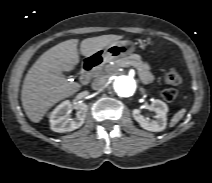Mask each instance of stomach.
<instances>
[{"mask_svg":"<svg viewBox=\"0 0 212 183\" xmlns=\"http://www.w3.org/2000/svg\"><path fill=\"white\" fill-rule=\"evenodd\" d=\"M135 43L128 40H119L110 43L102 51V56L106 60H116L128 56L135 51Z\"/></svg>","mask_w":212,"mask_h":183,"instance_id":"1","label":"stomach"}]
</instances>
